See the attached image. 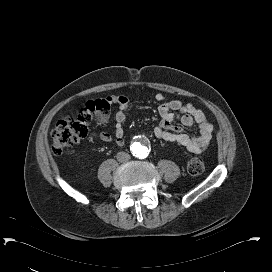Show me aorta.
Segmentation results:
<instances>
[{
  "mask_svg": "<svg viewBox=\"0 0 272 272\" xmlns=\"http://www.w3.org/2000/svg\"><path fill=\"white\" fill-rule=\"evenodd\" d=\"M130 151L137 159H145L149 155V140L146 137L136 138L130 145Z\"/></svg>",
  "mask_w": 272,
  "mask_h": 272,
  "instance_id": "1",
  "label": "aorta"
}]
</instances>
